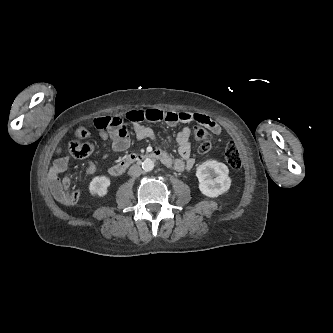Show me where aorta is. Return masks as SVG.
<instances>
[{
  "label": "aorta",
  "instance_id": "obj_1",
  "mask_svg": "<svg viewBox=\"0 0 333 333\" xmlns=\"http://www.w3.org/2000/svg\"><path fill=\"white\" fill-rule=\"evenodd\" d=\"M142 168L146 172L152 171L154 169V162L147 158L142 162Z\"/></svg>",
  "mask_w": 333,
  "mask_h": 333
}]
</instances>
